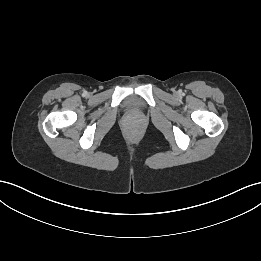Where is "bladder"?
<instances>
[{"label":"bladder","mask_w":261,"mask_h":261,"mask_svg":"<svg viewBox=\"0 0 261 261\" xmlns=\"http://www.w3.org/2000/svg\"><path fill=\"white\" fill-rule=\"evenodd\" d=\"M139 104L140 102L137 98L132 97L127 100V107L132 111L137 110L139 108Z\"/></svg>","instance_id":"bladder-1"}]
</instances>
